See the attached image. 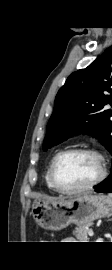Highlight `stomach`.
<instances>
[{
	"instance_id": "0dacf381",
	"label": "stomach",
	"mask_w": 112,
	"mask_h": 270,
	"mask_svg": "<svg viewBox=\"0 0 112 270\" xmlns=\"http://www.w3.org/2000/svg\"><path fill=\"white\" fill-rule=\"evenodd\" d=\"M32 214L39 226L57 231L71 223L82 226L112 215V198L102 194H83L68 200L39 199L32 204Z\"/></svg>"
}]
</instances>
